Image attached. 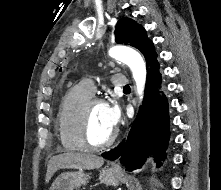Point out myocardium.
I'll use <instances>...</instances> for the list:
<instances>
[{"label":"myocardium","mask_w":221,"mask_h":190,"mask_svg":"<svg viewBox=\"0 0 221 190\" xmlns=\"http://www.w3.org/2000/svg\"><path fill=\"white\" fill-rule=\"evenodd\" d=\"M98 104L105 105V101L98 97H92L83 104L79 112L77 121V138L83 150L100 151L106 149L110 147L117 138V131L114 130L113 133L109 136V138L104 142L94 144L90 141L88 134L90 113L92 108Z\"/></svg>","instance_id":"1"}]
</instances>
